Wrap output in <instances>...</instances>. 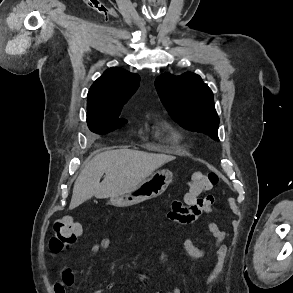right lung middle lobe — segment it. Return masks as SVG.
<instances>
[{"mask_svg":"<svg viewBox=\"0 0 293 293\" xmlns=\"http://www.w3.org/2000/svg\"><path fill=\"white\" fill-rule=\"evenodd\" d=\"M119 115L120 112L98 117H87L89 129L97 134H105L119 128L123 124L127 123V120L119 118Z\"/></svg>","mask_w":293,"mask_h":293,"instance_id":"1","label":"right lung middle lobe"}]
</instances>
